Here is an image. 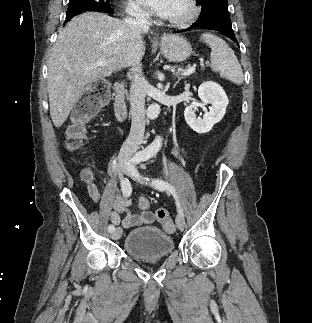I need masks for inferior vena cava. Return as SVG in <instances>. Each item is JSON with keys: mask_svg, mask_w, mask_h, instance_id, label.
Masks as SVG:
<instances>
[{"mask_svg": "<svg viewBox=\"0 0 312 323\" xmlns=\"http://www.w3.org/2000/svg\"><path fill=\"white\" fill-rule=\"evenodd\" d=\"M125 26L131 30L132 36L135 38V44L137 48L143 44L141 38L142 34H145L149 30L150 22L148 14L142 12L140 8L137 10H131L127 18L123 20ZM131 72L133 74V80L130 88V112L132 116V124L130 134L124 142V148L129 150H138L145 132V92L147 88V82L143 76H141V62L137 60L134 64H131Z\"/></svg>", "mask_w": 312, "mask_h": 323, "instance_id": "obj_1", "label": "inferior vena cava"}]
</instances>
